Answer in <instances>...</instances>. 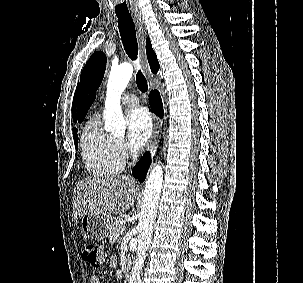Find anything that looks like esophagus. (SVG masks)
<instances>
[{"instance_id":"esophagus-1","label":"esophagus","mask_w":303,"mask_h":283,"mask_svg":"<svg viewBox=\"0 0 303 283\" xmlns=\"http://www.w3.org/2000/svg\"><path fill=\"white\" fill-rule=\"evenodd\" d=\"M134 23L137 29V38H138V44H139V56L142 64V68L144 73L148 78L151 76L149 64L146 58V27L144 24V21L141 17L136 16L134 17ZM159 133H160V125L156 117H154V131L153 136L150 143V149L155 150L157 147V144L159 142Z\"/></svg>"}]
</instances>
